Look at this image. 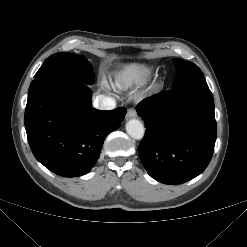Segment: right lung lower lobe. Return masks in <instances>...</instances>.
Wrapping results in <instances>:
<instances>
[{"label":"right lung lower lobe","instance_id":"98d812e1","mask_svg":"<svg viewBox=\"0 0 247 247\" xmlns=\"http://www.w3.org/2000/svg\"><path fill=\"white\" fill-rule=\"evenodd\" d=\"M125 114L123 107L92 108L84 83L42 77L29 87L24 122L35 158L57 175L76 177L95 165L106 136L119 128Z\"/></svg>","mask_w":247,"mask_h":247}]
</instances>
